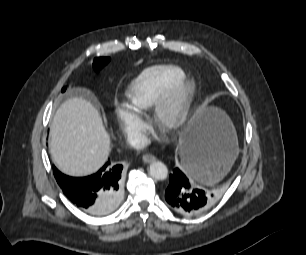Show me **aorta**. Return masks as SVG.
<instances>
[{
  "instance_id": "obj_1",
  "label": "aorta",
  "mask_w": 306,
  "mask_h": 255,
  "mask_svg": "<svg viewBox=\"0 0 306 255\" xmlns=\"http://www.w3.org/2000/svg\"><path fill=\"white\" fill-rule=\"evenodd\" d=\"M148 172L156 180H165L168 177V168L160 161L152 162L148 167Z\"/></svg>"
}]
</instances>
